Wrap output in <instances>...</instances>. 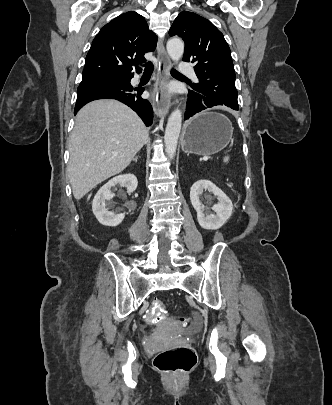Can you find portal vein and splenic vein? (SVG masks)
Masks as SVG:
<instances>
[{"instance_id":"1","label":"portal vein and splenic vein","mask_w":332,"mask_h":405,"mask_svg":"<svg viewBox=\"0 0 332 405\" xmlns=\"http://www.w3.org/2000/svg\"><path fill=\"white\" fill-rule=\"evenodd\" d=\"M208 160V157H203V161H207Z\"/></svg>"}]
</instances>
